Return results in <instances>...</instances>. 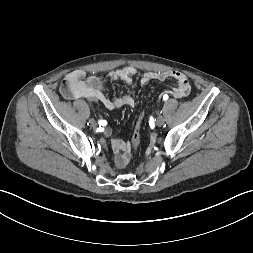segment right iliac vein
I'll list each match as a JSON object with an SVG mask.
<instances>
[{
    "label": "right iliac vein",
    "mask_w": 253,
    "mask_h": 253,
    "mask_svg": "<svg viewBox=\"0 0 253 253\" xmlns=\"http://www.w3.org/2000/svg\"><path fill=\"white\" fill-rule=\"evenodd\" d=\"M89 124H90V126L93 127V128L97 126V122H96L94 119H90V120H89Z\"/></svg>",
    "instance_id": "right-iliac-vein-1"
}]
</instances>
